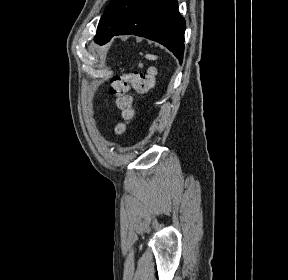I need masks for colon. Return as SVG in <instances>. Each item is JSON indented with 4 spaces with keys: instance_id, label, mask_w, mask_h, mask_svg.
<instances>
[{
    "instance_id": "5ec220e1",
    "label": "colon",
    "mask_w": 288,
    "mask_h": 280,
    "mask_svg": "<svg viewBox=\"0 0 288 280\" xmlns=\"http://www.w3.org/2000/svg\"><path fill=\"white\" fill-rule=\"evenodd\" d=\"M156 84V70L149 68L146 73H125L116 75L110 82V93L116 98V106L121 111L122 122L115 127L117 134H123L127 125L133 120L135 110L133 108V99L129 94L130 87L139 93L151 91Z\"/></svg>"
}]
</instances>
